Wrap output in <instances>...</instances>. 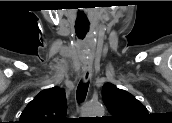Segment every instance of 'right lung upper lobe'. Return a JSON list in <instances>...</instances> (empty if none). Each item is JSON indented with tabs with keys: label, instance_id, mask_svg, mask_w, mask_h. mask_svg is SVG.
I'll use <instances>...</instances> for the list:
<instances>
[{
	"label": "right lung upper lobe",
	"instance_id": "1",
	"mask_svg": "<svg viewBox=\"0 0 172 123\" xmlns=\"http://www.w3.org/2000/svg\"><path fill=\"white\" fill-rule=\"evenodd\" d=\"M66 98L63 89L53 87L42 90L26 106L20 116L21 123H64Z\"/></svg>",
	"mask_w": 172,
	"mask_h": 123
}]
</instances>
